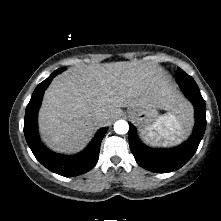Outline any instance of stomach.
Here are the masks:
<instances>
[{
  "mask_svg": "<svg viewBox=\"0 0 221 221\" xmlns=\"http://www.w3.org/2000/svg\"><path fill=\"white\" fill-rule=\"evenodd\" d=\"M129 118L141 129L145 139L155 145H162L164 138L160 135L157 125L159 121L156 107H135L127 110ZM149 134L152 136L150 137Z\"/></svg>",
  "mask_w": 221,
  "mask_h": 221,
  "instance_id": "obj_1",
  "label": "stomach"
}]
</instances>
